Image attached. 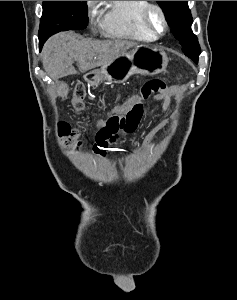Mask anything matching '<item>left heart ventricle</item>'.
Listing matches in <instances>:
<instances>
[{
  "mask_svg": "<svg viewBox=\"0 0 237 300\" xmlns=\"http://www.w3.org/2000/svg\"><path fill=\"white\" fill-rule=\"evenodd\" d=\"M153 21H154V24L156 25V27L160 28V21L157 16L153 17Z\"/></svg>",
  "mask_w": 237,
  "mask_h": 300,
  "instance_id": "left-heart-ventricle-1",
  "label": "left heart ventricle"
}]
</instances>
